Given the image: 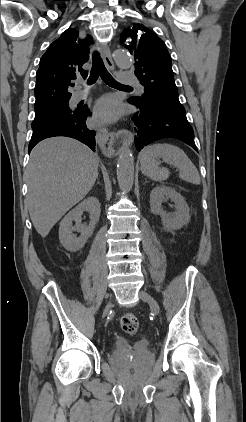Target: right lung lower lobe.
<instances>
[{
	"label": "right lung lower lobe",
	"instance_id": "98d812e1",
	"mask_svg": "<svg viewBox=\"0 0 246 422\" xmlns=\"http://www.w3.org/2000/svg\"><path fill=\"white\" fill-rule=\"evenodd\" d=\"M91 115L89 109H77L76 114L70 118L54 119L38 124L33 129L29 143V153L41 140L54 136H67L75 138L95 151V131L87 128L85 121Z\"/></svg>",
	"mask_w": 246,
	"mask_h": 422
}]
</instances>
